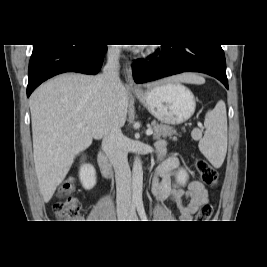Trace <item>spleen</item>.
<instances>
[{"mask_svg":"<svg viewBox=\"0 0 267 267\" xmlns=\"http://www.w3.org/2000/svg\"><path fill=\"white\" fill-rule=\"evenodd\" d=\"M204 126L206 130L199 142V149L214 167L219 168L227 152V115L224 101H219L208 112Z\"/></svg>","mask_w":267,"mask_h":267,"instance_id":"1","label":"spleen"}]
</instances>
